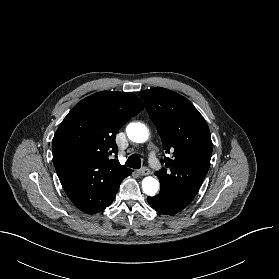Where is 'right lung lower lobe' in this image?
<instances>
[{"label": "right lung lower lobe", "mask_w": 279, "mask_h": 279, "mask_svg": "<svg viewBox=\"0 0 279 279\" xmlns=\"http://www.w3.org/2000/svg\"><path fill=\"white\" fill-rule=\"evenodd\" d=\"M118 189H119V188H118ZM118 189H117L116 192L113 194L112 198H111L110 201L107 203V205L105 206V208L108 207L109 205H111V203L113 202V200H114V198H115V195H116ZM105 208H104V209H105Z\"/></svg>", "instance_id": "right-lung-lower-lobe-1"}]
</instances>
